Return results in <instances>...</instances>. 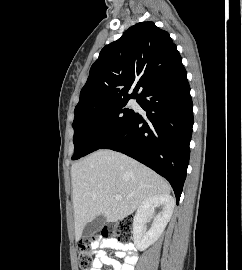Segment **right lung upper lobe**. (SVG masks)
<instances>
[{
    "instance_id": "right-lung-upper-lobe-1",
    "label": "right lung upper lobe",
    "mask_w": 242,
    "mask_h": 270,
    "mask_svg": "<svg viewBox=\"0 0 242 270\" xmlns=\"http://www.w3.org/2000/svg\"><path fill=\"white\" fill-rule=\"evenodd\" d=\"M181 64V56L166 31L153 22L138 23L101 50L80 92L75 113L138 98L150 84Z\"/></svg>"
}]
</instances>
